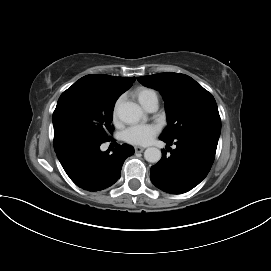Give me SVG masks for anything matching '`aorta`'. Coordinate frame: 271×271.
I'll list each match as a JSON object with an SVG mask.
<instances>
[{"mask_svg": "<svg viewBox=\"0 0 271 271\" xmlns=\"http://www.w3.org/2000/svg\"><path fill=\"white\" fill-rule=\"evenodd\" d=\"M118 118L127 124L138 123L143 118L141 107L133 102H121L116 107ZM161 151L156 147H149L144 152V158L150 163H157L161 159Z\"/></svg>", "mask_w": 271, "mask_h": 271, "instance_id": "obj_1", "label": "aorta"}]
</instances>
